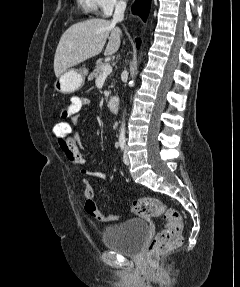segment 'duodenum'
I'll list each match as a JSON object with an SVG mask.
<instances>
[{
	"label": "duodenum",
	"instance_id": "1",
	"mask_svg": "<svg viewBox=\"0 0 240 287\" xmlns=\"http://www.w3.org/2000/svg\"><path fill=\"white\" fill-rule=\"evenodd\" d=\"M120 99L117 96H112L108 99L107 105L110 111L116 112L119 108Z\"/></svg>",
	"mask_w": 240,
	"mask_h": 287
}]
</instances>
